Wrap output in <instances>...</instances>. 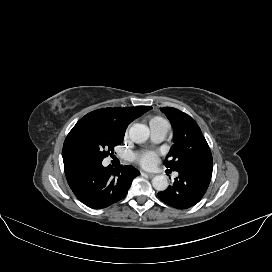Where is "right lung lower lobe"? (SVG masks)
<instances>
[{
    "label": "right lung lower lobe",
    "instance_id": "98d812e1",
    "mask_svg": "<svg viewBox=\"0 0 272 272\" xmlns=\"http://www.w3.org/2000/svg\"><path fill=\"white\" fill-rule=\"evenodd\" d=\"M65 175L75 196L86 206L102 209L123 199L140 172L133 166L116 170L102 163L64 162Z\"/></svg>",
    "mask_w": 272,
    "mask_h": 272
}]
</instances>
